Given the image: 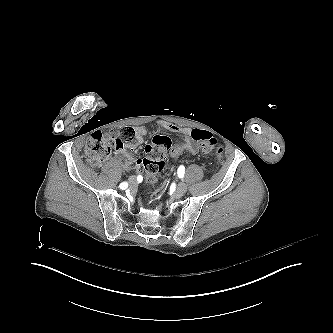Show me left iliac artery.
Listing matches in <instances>:
<instances>
[{
	"label": "left iliac artery",
	"mask_w": 333,
	"mask_h": 333,
	"mask_svg": "<svg viewBox=\"0 0 333 333\" xmlns=\"http://www.w3.org/2000/svg\"><path fill=\"white\" fill-rule=\"evenodd\" d=\"M177 173H178V176H179L180 178H183V177H184V173H185V168H184V166H180L179 169H178V171H177Z\"/></svg>",
	"instance_id": "left-iliac-artery-1"
}]
</instances>
